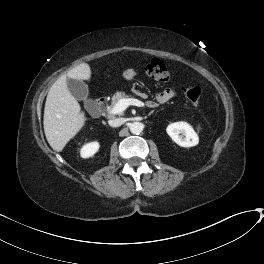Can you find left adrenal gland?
I'll return each instance as SVG.
<instances>
[{
    "label": "left adrenal gland",
    "instance_id": "left-adrenal-gland-1",
    "mask_svg": "<svg viewBox=\"0 0 264 264\" xmlns=\"http://www.w3.org/2000/svg\"><path fill=\"white\" fill-rule=\"evenodd\" d=\"M153 112H154V110H152L148 115L150 116Z\"/></svg>",
    "mask_w": 264,
    "mask_h": 264
}]
</instances>
